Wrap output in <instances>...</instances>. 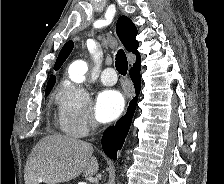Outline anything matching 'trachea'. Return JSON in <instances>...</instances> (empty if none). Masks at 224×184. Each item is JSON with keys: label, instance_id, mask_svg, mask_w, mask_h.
Masks as SVG:
<instances>
[{"label": "trachea", "instance_id": "trachea-1", "mask_svg": "<svg viewBox=\"0 0 224 184\" xmlns=\"http://www.w3.org/2000/svg\"><path fill=\"white\" fill-rule=\"evenodd\" d=\"M115 66L119 74L125 76L128 70V61L123 50H119L116 54Z\"/></svg>", "mask_w": 224, "mask_h": 184}]
</instances>
